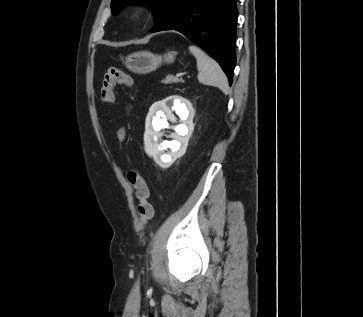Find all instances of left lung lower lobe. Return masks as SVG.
<instances>
[{
	"label": "left lung lower lobe",
	"mask_w": 363,
	"mask_h": 317,
	"mask_svg": "<svg viewBox=\"0 0 363 317\" xmlns=\"http://www.w3.org/2000/svg\"><path fill=\"white\" fill-rule=\"evenodd\" d=\"M237 16L236 0H168L150 32H181L219 62L231 84Z\"/></svg>",
	"instance_id": "obj_1"
}]
</instances>
